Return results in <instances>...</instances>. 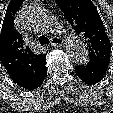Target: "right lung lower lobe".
Instances as JSON below:
<instances>
[{
	"label": "right lung lower lobe",
	"mask_w": 113,
	"mask_h": 113,
	"mask_svg": "<svg viewBox=\"0 0 113 113\" xmlns=\"http://www.w3.org/2000/svg\"><path fill=\"white\" fill-rule=\"evenodd\" d=\"M46 75H47V73H46L43 77H41V78L37 81V83H36L35 85H33L29 90H34V89L38 88V87L43 83V81H44Z\"/></svg>",
	"instance_id": "98d812e1"
}]
</instances>
